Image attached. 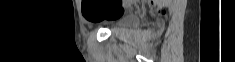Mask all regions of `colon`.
Listing matches in <instances>:
<instances>
[{
	"label": "colon",
	"instance_id": "obj_1",
	"mask_svg": "<svg viewBox=\"0 0 235 62\" xmlns=\"http://www.w3.org/2000/svg\"><path fill=\"white\" fill-rule=\"evenodd\" d=\"M127 3L128 1L124 0H112L106 6L101 7L95 0H83V15L90 22H97L104 18H115L124 13Z\"/></svg>",
	"mask_w": 235,
	"mask_h": 62
}]
</instances>
